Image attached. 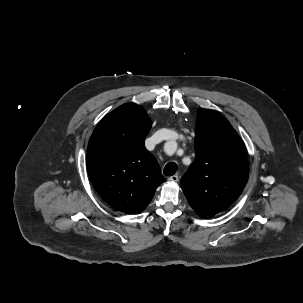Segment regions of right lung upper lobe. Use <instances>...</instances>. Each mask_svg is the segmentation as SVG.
<instances>
[{"label": "right lung upper lobe", "instance_id": "1", "mask_svg": "<svg viewBox=\"0 0 303 303\" xmlns=\"http://www.w3.org/2000/svg\"><path fill=\"white\" fill-rule=\"evenodd\" d=\"M150 128L142 107L128 103L105 115L89 140L90 180L101 198L118 211L142 212L165 181L144 145Z\"/></svg>", "mask_w": 303, "mask_h": 303}]
</instances>
